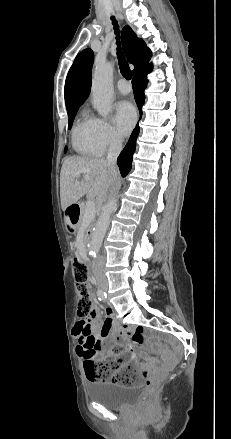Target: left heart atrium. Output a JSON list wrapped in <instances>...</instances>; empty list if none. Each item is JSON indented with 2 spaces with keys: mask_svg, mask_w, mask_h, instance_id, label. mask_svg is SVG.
Wrapping results in <instances>:
<instances>
[{
  "mask_svg": "<svg viewBox=\"0 0 231 439\" xmlns=\"http://www.w3.org/2000/svg\"><path fill=\"white\" fill-rule=\"evenodd\" d=\"M114 122L122 135H127L136 122V111L128 101H120L114 106Z\"/></svg>",
  "mask_w": 231,
  "mask_h": 439,
  "instance_id": "1",
  "label": "left heart atrium"
}]
</instances>
